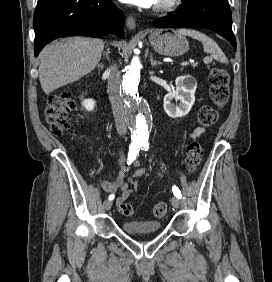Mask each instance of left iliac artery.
I'll return each instance as SVG.
<instances>
[{
  "instance_id": "1",
  "label": "left iliac artery",
  "mask_w": 272,
  "mask_h": 282,
  "mask_svg": "<svg viewBox=\"0 0 272 282\" xmlns=\"http://www.w3.org/2000/svg\"><path fill=\"white\" fill-rule=\"evenodd\" d=\"M141 147H143L145 150H148L149 148V144H148V140H142L141 142ZM173 194L175 195V197H177L178 199H181V191L179 190L178 187L173 186L172 188Z\"/></svg>"
}]
</instances>
